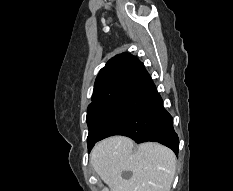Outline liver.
Masks as SVG:
<instances>
[{"mask_svg": "<svg viewBox=\"0 0 233 191\" xmlns=\"http://www.w3.org/2000/svg\"><path fill=\"white\" fill-rule=\"evenodd\" d=\"M90 163L110 191H170L176 172L172 150L147 142L134 150V142L125 136H113L98 142L90 154ZM131 171L130 179L122 178Z\"/></svg>", "mask_w": 233, "mask_h": 191, "instance_id": "1", "label": "liver"}]
</instances>
